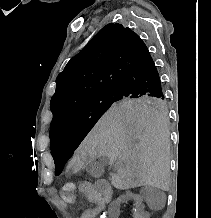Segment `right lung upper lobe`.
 I'll list each match as a JSON object with an SVG mask.
<instances>
[{"label":"right lung upper lobe","instance_id":"right-lung-upper-lobe-1","mask_svg":"<svg viewBox=\"0 0 211 218\" xmlns=\"http://www.w3.org/2000/svg\"><path fill=\"white\" fill-rule=\"evenodd\" d=\"M148 56V48L131 29L113 23L103 27L58 75L50 103L52 122L89 99L116 91Z\"/></svg>","mask_w":211,"mask_h":218}]
</instances>
